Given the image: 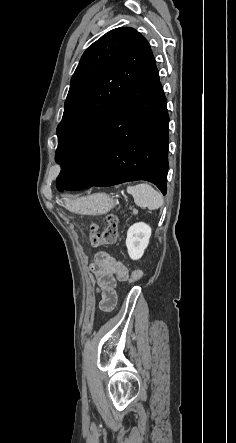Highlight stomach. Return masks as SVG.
<instances>
[{
  "mask_svg": "<svg viewBox=\"0 0 236 443\" xmlns=\"http://www.w3.org/2000/svg\"><path fill=\"white\" fill-rule=\"evenodd\" d=\"M66 206L74 212L102 215L109 212L115 206V202L105 193H95L87 197L69 200Z\"/></svg>",
  "mask_w": 236,
  "mask_h": 443,
  "instance_id": "1",
  "label": "stomach"
}]
</instances>
